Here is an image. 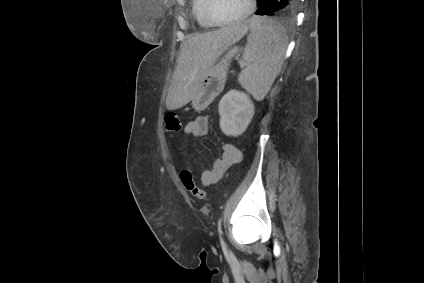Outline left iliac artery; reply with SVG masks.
Returning a JSON list of instances; mask_svg holds the SVG:
<instances>
[{"label": "left iliac artery", "mask_w": 424, "mask_h": 283, "mask_svg": "<svg viewBox=\"0 0 424 283\" xmlns=\"http://www.w3.org/2000/svg\"><path fill=\"white\" fill-rule=\"evenodd\" d=\"M218 234L220 236V240L222 242V244H224L223 238H222V219L220 218V220L218 221Z\"/></svg>", "instance_id": "1"}]
</instances>
